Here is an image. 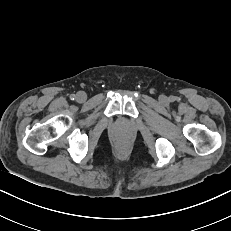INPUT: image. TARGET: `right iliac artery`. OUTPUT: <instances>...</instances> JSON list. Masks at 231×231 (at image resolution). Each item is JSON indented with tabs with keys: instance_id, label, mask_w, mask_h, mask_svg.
<instances>
[{
	"instance_id": "right-iliac-artery-1",
	"label": "right iliac artery",
	"mask_w": 231,
	"mask_h": 231,
	"mask_svg": "<svg viewBox=\"0 0 231 231\" xmlns=\"http://www.w3.org/2000/svg\"><path fill=\"white\" fill-rule=\"evenodd\" d=\"M70 99H71V100H74V99H75V95L72 94V95L70 96Z\"/></svg>"
}]
</instances>
